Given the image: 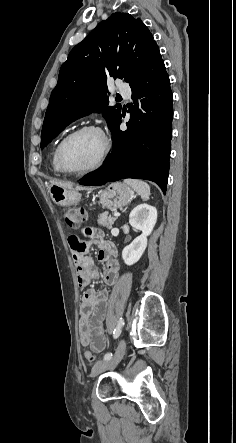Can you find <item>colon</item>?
I'll return each instance as SVG.
<instances>
[{"mask_svg":"<svg viewBox=\"0 0 236 443\" xmlns=\"http://www.w3.org/2000/svg\"><path fill=\"white\" fill-rule=\"evenodd\" d=\"M66 224L74 229L80 228L87 219V214L83 209H66L62 212ZM86 235L91 234V230H86ZM84 356L86 360L93 361L94 354L92 351H85Z\"/></svg>","mask_w":236,"mask_h":443,"instance_id":"colon-1","label":"colon"}]
</instances>
